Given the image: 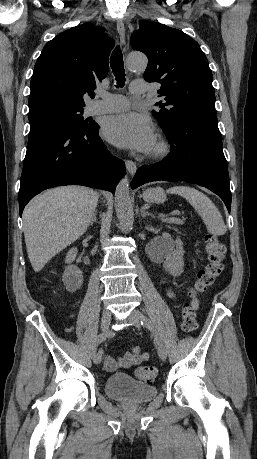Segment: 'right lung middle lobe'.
<instances>
[{
	"instance_id": "dd1d6c3e",
	"label": "right lung middle lobe",
	"mask_w": 257,
	"mask_h": 459,
	"mask_svg": "<svg viewBox=\"0 0 257 459\" xmlns=\"http://www.w3.org/2000/svg\"><path fill=\"white\" fill-rule=\"evenodd\" d=\"M82 114L83 107H51L29 112V121L46 120L77 129L91 127L94 122L84 120Z\"/></svg>"
}]
</instances>
